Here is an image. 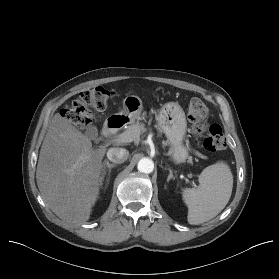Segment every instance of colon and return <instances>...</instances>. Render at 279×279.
Here are the masks:
<instances>
[{
	"instance_id": "obj_1",
	"label": "colon",
	"mask_w": 279,
	"mask_h": 279,
	"mask_svg": "<svg viewBox=\"0 0 279 279\" xmlns=\"http://www.w3.org/2000/svg\"><path fill=\"white\" fill-rule=\"evenodd\" d=\"M114 92L99 86L80 92L71 105L61 111V116L74 125L85 128L91 123L92 110L103 111L109 105ZM208 108L200 99H192L188 106V118L192 131L197 136L204 135L203 146L210 152L226 147L223 128L217 124H208Z\"/></svg>"
}]
</instances>
